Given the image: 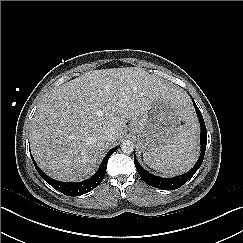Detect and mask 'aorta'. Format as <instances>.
<instances>
[{
  "label": "aorta",
  "instance_id": "obj_1",
  "mask_svg": "<svg viewBox=\"0 0 243 243\" xmlns=\"http://www.w3.org/2000/svg\"><path fill=\"white\" fill-rule=\"evenodd\" d=\"M121 150L126 154L132 153L134 151V143L130 140H125L121 145Z\"/></svg>",
  "mask_w": 243,
  "mask_h": 243
}]
</instances>
